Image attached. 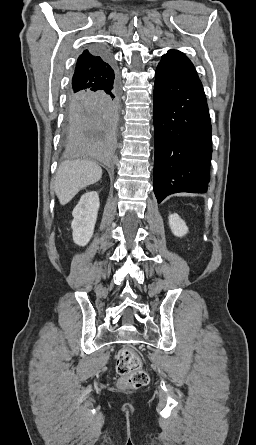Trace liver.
<instances>
[{
  "instance_id": "liver-1",
  "label": "liver",
  "mask_w": 256,
  "mask_h": 445,
  "mask_svg": "<svg viewBox=\"0 0 256 445\" xmlns=\"http://www.w3.org/2000/svg\"><path fill=\"white\" fill-rule=\"evenodd\" d=\"M102 177L101 167L90 160H67L60 164L53 188L60 201L65 205L83 188L99 181Z\"/></svg>"
}]
</instances>
